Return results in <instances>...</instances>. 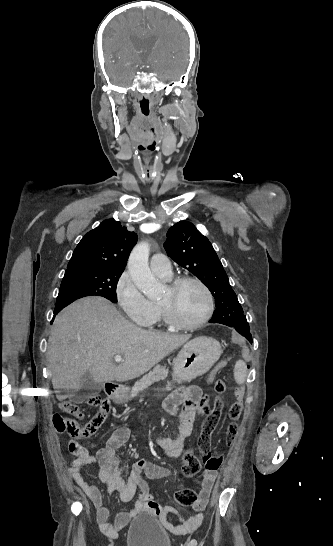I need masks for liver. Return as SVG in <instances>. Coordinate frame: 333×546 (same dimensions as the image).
<instances>
[{"instance_id":"6515ba94","label":"liver","mask_w":333,"mask_h":546,"mask_svg":"<svg viewBox=\"0 0 333 546\" xmlns=\"http://www.w3.org/2000/svg\"><path fill=\"white\" fill-rule=\"evenodd\" d=\"M190 338L141 329L104 298L80 299L56 316L49 337L53 387L77 390L86 372L100 384L137 378ZM116 355L124 358L118 365Z\"/></svg>"}]
</instances>
